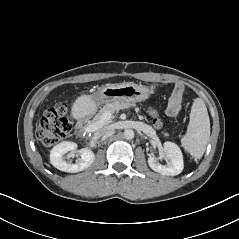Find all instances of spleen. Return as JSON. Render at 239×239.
I'll return each mask as SVG.
<instances>
[{"label":"spleen","instance_id":"1","mask_svg":"<svg viewBox=\"0 0 239 239\" xmlns=\"http://www.w3.org/2000/svg\"><path fill=\"white\" fill-rule=\"evenodd\" d=\"M210 137V120L204 101L196 98L190 112V122L181 145L194 159H200Z\"/></svg>","mask_w":239,"mask_h":239}]
</instances>
